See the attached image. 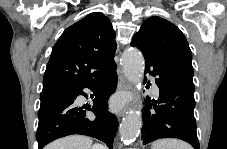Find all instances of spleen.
I'll list each match as a JSON object with an SVG mask.
<instances>
[{
    "instance_id": "spleen-1",
    "label": "spleen",
    "mask_w": 227,
    "mask_h": 149,
    "mask_svg": "<svg viewBox=\"0 0 227 149\" xmlns=\"http://www.w3.org/2000/svg\"><path fill=\"white\" fill-rule=\"evenodd\" d=\"M151 149H192L187 143L177 139H160L155 141Z\"/></svg>"
}]
</instances>
